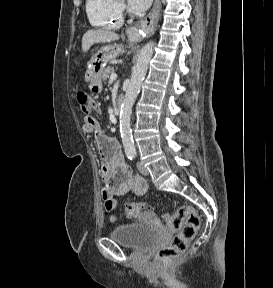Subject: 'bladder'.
Instances as JSON below:
<instances>
[{"mask_svg":"<svg viewBox=\"0 0 273 288\" xmlns=\"http://www.w3.org/2000/svg\"><path fill=\"white\" fill-rule=\"evenodd\" d=\"M110 237L127 248L143 252L157 243L159 233L155 228L133 223L117 226L110 233Z\"/></svg>","mask_w":273,"mask_h":288,"instance_id":"obj_1","label":"bladder"}]
</instances>
